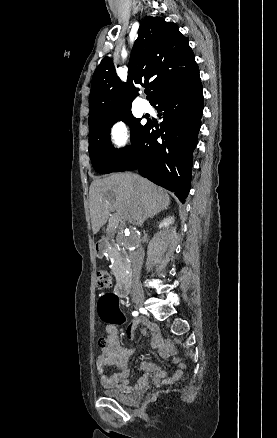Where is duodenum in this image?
Masks as SVG:
<instances>
[{"instance_id":"1","label":"duodenum","mask_w":277,"mask_h":438,"mask_svg":"<svg viewBox=\"0 0 277 438\" xmlns=\"http://www.w3.org/2000/svg\"><path fill=\"white\" fill-rule=\"evenodd\" d=\"M109 241L106 239H100L95 243V252L97 256H103V254L109 249ZM130 289V277L128 273L120 276L117 285L115 287V293L121 297L126 296Z\"/></svg>"}]
</instances>
